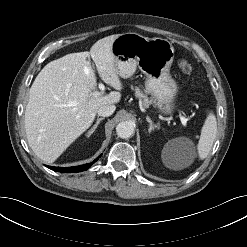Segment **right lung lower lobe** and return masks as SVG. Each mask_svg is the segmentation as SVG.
I'll return each mask as SVG.
<instances>
[{"label":"right lung lower lobe","mask_w":247,"mask_h":247,"mask_svg":"<svg viewBox=\"0 0 247 247\" xmlns=\"http://www.w3.org/2000/svg\"><path fill=\"white\" fill-rule=\"evenodd\" d=\"M97 160H98V158L95 159V161H93L92 163L84 164V165H80V166H74V167H66V168L50 167V166H47V167L50 168L51 170L58 171V172L75 173V172H81V171L87 170L91 166V164H93Z\"/></svg>","instance_id":"98d812e1"}]
</instances>
